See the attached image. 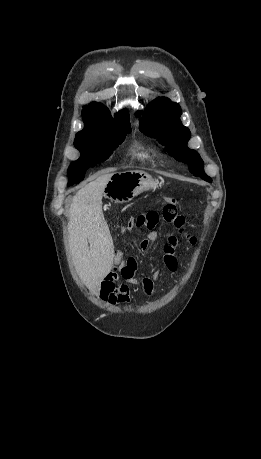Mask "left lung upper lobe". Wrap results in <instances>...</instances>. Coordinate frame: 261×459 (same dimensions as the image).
Masks as SVG:
<instances>
[{
    "label": "left lung upper lobe",
    "mask_w": 261,
    "mask_h": 459,
    "mask_svg": "<svg viewBox=\"0 0 261 459\" xmlns=\"http://www.w3.org/2000/svg\"><path fill=\"white\" fill-rule=\"evenodd\" d=\"M181 108L166 97L153 100L147 109L145 123L140 130L147 136L158 138L170 155L189 165L190 171L206 181H211L203 170L200 155L187 147L190 131L180 121Z\"/></svg>",
    "instance_id": "1"
}]
</instances>
